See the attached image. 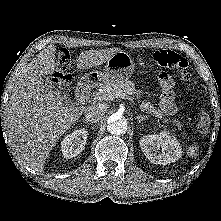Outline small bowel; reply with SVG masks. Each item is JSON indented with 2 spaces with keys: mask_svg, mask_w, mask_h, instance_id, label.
<instances>
[{
  "mask_svg": "<svg viewBox=\"0 0 221 221\" xmlns=\"http://www.w3.org/2000/svg\"><path fill=\"white\" fill-rule=\"evenodd\" d=\"M160 109L169 115H172L176 112L175 96L173 91H165L161 95Z\"/></svg>",
  "mask_w": 221,
  "mask_h": 221,
  "instance_id": "obj_1",
  "label": "small bowel"
}]
</instances>
